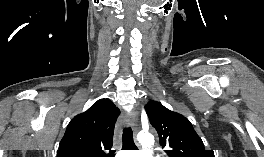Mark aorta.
Here are the masks:
<instances>
[{"instance_id":"762f6f07","label":"aorta","mask_w":264,"mask_h":157,"mask_svg":"<svg viewBox=\"0 0 264 157\" xmlns=\"http://www.w3.org/2000/svg\"><path fill=\"white\" fill-rule=\"evenodd\" d=\"M138 141L142 147H150L153 144L154 138L150 133H141L138 135Z\"/></svg>"}]
</instances>
